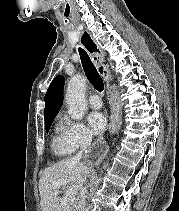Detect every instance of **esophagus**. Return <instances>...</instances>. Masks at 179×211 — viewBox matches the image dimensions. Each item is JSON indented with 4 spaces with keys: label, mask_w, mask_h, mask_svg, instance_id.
I'll list each match as a JSON object with an SVG mask.
<instances>
[{
    "label": "esophagus",
    "mask_w": 179,
    "mask_h": 211,
    "mask_svg": "<svg viewBox=\"0 0 179 211\" xmlns=\"http://www.w3.org/2000/svg\"><path fill=\"white\" fill-rule=\"evenodd\" d=\"M82 43L88 49V53H91L95 64L100 67L102 61H104L103 52L95 51L96 45L89 36V34H84L82 36ZM111 105L114 108V112L112 116L115 117L114 120V128L112 129L113 133H116L119 129V121H123L124 117L121 112H117V109H121L122 105L115 99V101L111 102ZM104 149H107V144H93V147H88V151H85V159H87V163H98V156H103Z\"/></svg>",
    "instance_id": "34e87169"
}]
</instances>
